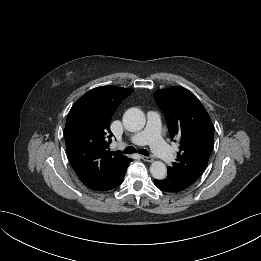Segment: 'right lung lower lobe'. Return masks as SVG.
Returning a JSON list of instances; mask_svg holds the SVG:
<instances>
[{
  "label": "right lung lower lobe",
  "instance_id": "obj_1",
  "mask_svg": "<svg viewBox=\"0 0 261 261\" xmlns=\"http://www.w3.org/2000/svg\"><path fill=\"white\" fill-rule=\"evenodd\" d=\"M125 172L116 181H114L113 183H111V184H109V185H107V186H105V187H103V188H101L97 191H107V190H110V189H113V188L119 186L122 183Z\"/></svg>",
  "mask_w": 261,
  "mask_h": 261
}]
</instances>
